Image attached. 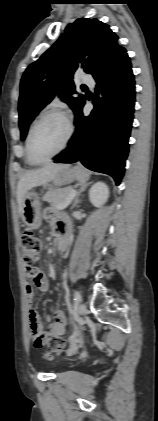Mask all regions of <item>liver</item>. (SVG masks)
<instances>
[{
	"label": "liver",
	"mask_w": 158,
	"mask_h": 421,
	"mask_svg": "<svg viewBox=\"0 0 158 421\" xmlns=\"http://www.w3.org/2000/svg\"><path fill=\"white\" fill-rule=\"evenodd\" d=\"M68 166V164H49L40 169L31 170L23 174L17 185V203L19 213H21L24 197L29 190L52 181L60 170Z\"/></svg>",
	"instance_id": "liver-1"
}]
</instances>
